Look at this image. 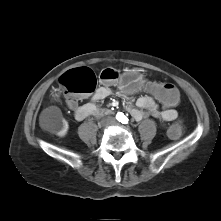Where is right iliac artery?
Wrapping results in <instances>:
<instances>
[{
    "label": "right iliac artery",
    "instance_id": "82829eb1",
    "mask_svg": "<svg viewBox=\"0 0 221 221\" xmlns=\"http://www.w3.org/2000/svg\"><path fill=\"white\" fill-rule=\"evenodd\" d=\"M116 117L118 118V120L121 119V113H118Z\"/></svg>",
    "mask_w": 221,
    "mask_h": 221
}]
</instances>
